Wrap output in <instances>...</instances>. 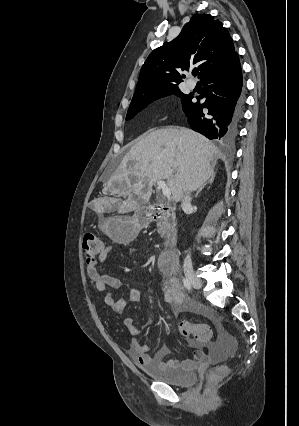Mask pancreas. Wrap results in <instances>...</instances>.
<instances>
[{"label": "pancreas", "mask_w": 299, "mask_h": 426, "mask_svg": "<svg viewBox=\"0 0 299 426\" xmlns=\"http://www.w3.org/2000/svg\"><path fill=\"white\" fill-rule=\"evenodd\" d=\"M175 218L176 217L173 212L172 213L164 212L161 214V216L158 217L156 221V225H157V230L162 237L175 233V226H176Z\"/></svg>", "instance_id": "cf45deb5"}]
</instances>
